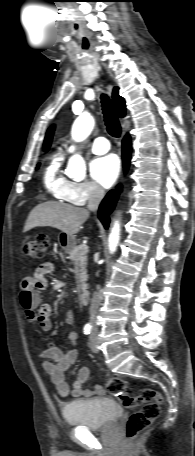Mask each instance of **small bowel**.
I'll return each mask as SVG.
<instances>
[{
    "mask_svg": "<svg viewBox=\"0 0 195 456\" xmlns=\"http://www.w3.org/2000/svg\"><path fill=\"white\" fill-rule=\"evenodd\" d=\"M53 264L50 262L39 265L33 276L24 277L19 285L20 304L30 322L39 324L43 331H49L52 327L51 307L47 303H41L38 290H44L47 285V276L53 272ZM67 322H72V314H67ZM70 343L66 351L61 350L54 344L49 346L40 354L43 359L42 366L50 376L56 394L59 398H66L71 394L75 398L101 396L105 393L102 386L96 385L93 389H85L83 386L89 379L87 368L79 369L76 379L70 390L65 381V372L73 365L78 356L76 342L78 334L71 330L67 334Z\"/></svg>",
    "mask_w": 195,
    "mask_h": 456,
    "instance_id": "1",
    "label": "small bowel"
}]
</instances>
